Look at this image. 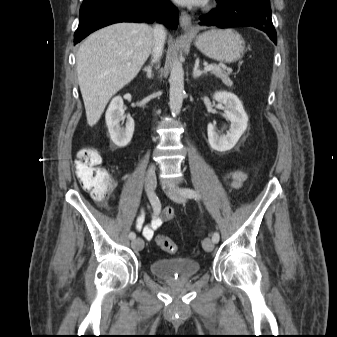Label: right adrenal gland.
Wrapping results in <instances>:
<instances>
[{"instance_id":"2a0ac1e0","label":"right adrenal gland","mask_w":337,"mask_h":337,"mask_svg":"<svg viewBox=\"0 0 337 337\" xmlns=\"http://www.w3.org/2000/svg\"><path fill=\"white\" fill-rule=\"evenodd\" d=\"M143 71L146 72L147 78H148V79L152 78L153 73H152V67H151V66L145 67V68L143 69Z\"/></svg>"}]
</instances>
